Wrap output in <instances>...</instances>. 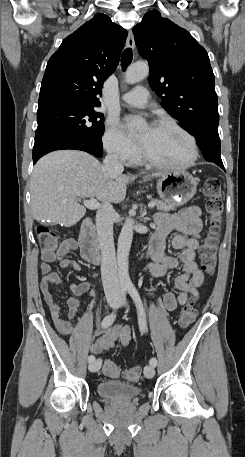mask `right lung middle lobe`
I'll use <instances>...</instances> for the list:
<instances>
[{
	"label": "right lung middle lobe",
	"instance_id": "dd1d6c3e",
	"mask_svg": "<svg viewBox=\"0 0 245 457\" xmlns=\"http://www.w3.org/2000/svg\"><path fill=\"white\" fill-rule=\"evenodd\" d=\"M95 106L98 105L62 103L50 110L37 112L35 143L53 137H66L82 142L91 154L101 157L104 117L95 111Z\"/></svg>",
	"mask_w": 245,
	"mask_h": 457
}]
</instances>
